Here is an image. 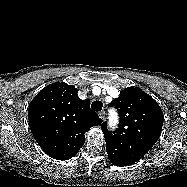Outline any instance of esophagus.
<instances>
[{"label": "esophagus", "mask_w": 187, "mask_h": 187, "mask_svg": "<svg viewBox=\"0 0 187 187\" xmlns=\"http://www.w3.org/2000/svg\"><path fill=\"white\" fill-rule=\"evenodd\" d=\"M105 111H100L99 113H98V116L102 119V120H104L105 119Z\"/></svg>", "instance_id": "1"}]
</instances>
